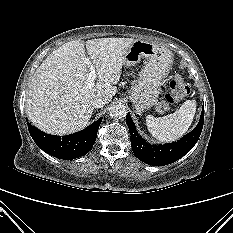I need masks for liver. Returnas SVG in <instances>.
<instances>
[{
	"mask_svg": "<svg viewBox=\"0 0 233 233\" xmlns=\"http://www.w3.org/2000/svg\"><path fill=\"white\" fill-rule=\"evenodd\" d=\"M135 40L100 38L73 40L53 51L38 67L29 85L26 112L34 126L54 135L72 134L87 126L92 100L107 103L116 94L124 56ZM85 47L98 83L88 86Z\"/></svg>",
	"mask_w": 233,
	"mask_h": 233,
	"instance_id": "1",
	"label": "liver"
}]
</instances>
